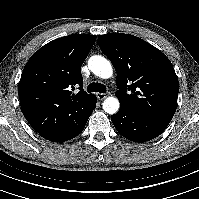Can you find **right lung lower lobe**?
<instances>
[{"instance_id":"98d812e1","label":"right lung lower lobe","mask_w":199,"mask_h":199,"mask_svg":"<svg viewBox=\"0 0 199 199\" xmlns=\"http://www.w3.org/2000/svg\"><path fill=\"white\" fill-rule=\"evenodd\" d=\"M97 99L94 100L91 107L89 108L88 112L85 114V116L75 125L72 127L65 129L59 133L51 134L43 136L47 140L53 141V142H64L67 140H70L76 136H78L82 130L84 129L87 120L89 119L90 115L92 114L93 110L95 109Z\"/></svg>"}]
</instances>
